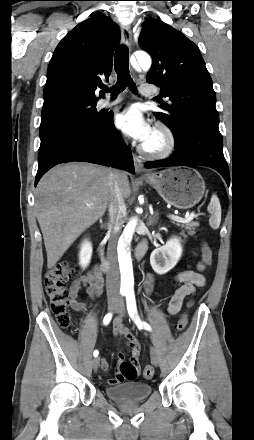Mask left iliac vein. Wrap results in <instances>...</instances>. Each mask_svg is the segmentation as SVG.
Wrapping results in <instances>:
<instances>
[{
	"label": "left iliac vein",
	"instance_id": "left-iliac-vein-1",
	"mask_svg": "<svg viewBox=\"0 0 254 440\" xmlns=\"http://www.w3.org/2000/svg\"><path fill=\"white\" fill-rule=\"evenodd\" d=\"M116 312L119 314L120 317H124L125 316V307H124V302L123 300H120L117 308H116ZM150 355H151V361L155 366H158L159 364V360H160V356L159 353L157 351L156 348L151 347L150 349Z\"/></svg>",
	"mask_w": 254,
	"mask_h": 440
}]
</instances>
